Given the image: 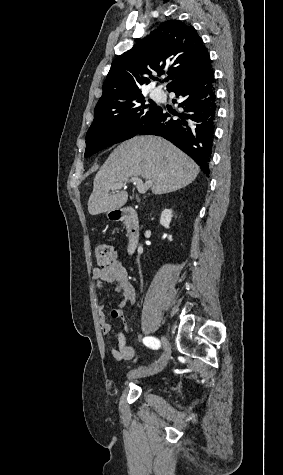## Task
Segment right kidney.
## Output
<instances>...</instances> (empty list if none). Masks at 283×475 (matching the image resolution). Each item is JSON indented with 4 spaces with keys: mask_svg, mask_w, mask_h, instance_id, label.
Segmentation results:
<instances>
[{
    "mask_svg": "<svg viewBox=\"0 0 283 475\" xmlns=\"http://www.w3.org/2000/svg\"><path fill=\"white\" fill-rule=\"evenodd\" d=\"M172 220V210H163L160 218L161 226L164 228H170V222Z\"/></svg>",
    "mask_w": 283,
    "mask_h": 475,
    "instance_id": "1",
    "label": "right kidney"
}]
</instances>
